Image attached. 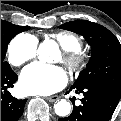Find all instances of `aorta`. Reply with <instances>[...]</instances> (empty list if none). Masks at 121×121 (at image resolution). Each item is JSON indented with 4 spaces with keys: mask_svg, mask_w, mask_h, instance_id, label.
I'll return each instance as SVG.
<instances>
[{
    "mask_svg": "<svg viewBox=\"0 0 121 121\" xmlns=\"http://www.w3.org/2000/svg\"><path fill=\"white\" fill-rule=\"evenodd\" d=\"M57 51V45L53 41H44L38 48V57L41 61H48L49 56ZM55 113L58 116H67L71 111V105L68 101L62 99L54 105Z\"/></svg>",
    "mask_w": 121,
    "mask_h": 121,
    "instance_id": "aorta-1",
    "label": "aorta"
}]
</instances>
